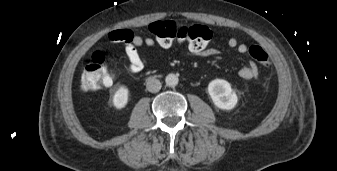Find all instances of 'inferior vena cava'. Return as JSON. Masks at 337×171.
Masks as SVG:
<instances>
[{
  "mask_svg": "<svg viewBox=\"0 0 337 171\" xmlns=\"http://www.w3.org/2000/svg\"><path fill=\"white\" fill-rule=\"evenodd\" d=\"M161 87H162L161 82L155 78H150L146 84L147 90L152 93L158 92L161 89Z\"/></svg>",
  "mask_w": 337,
  "mask_h": 171,
  "instance_id": "inferior-vena-cava-1",
  "label": "inferior vena cava"
}]
</instances>
